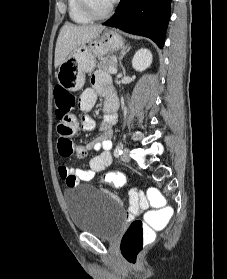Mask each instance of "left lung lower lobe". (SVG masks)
<instances>
[{"instance_id": "left-lung-lower-lobe-1", "label": "left lung lower lobe", "mask_w": 227, "mask_h": 279, "mask_svg": "<svg viewBox=\"0 0 227 279\" xmlns=\"http://www.w3.org/2000/svg\"><path fill=\"white\" fill-rule=\"evenodd\" d=\"M172 0H121L115 14L103 25L152 39L160 48L170 19Z\"/></svg>"}]
</instances>
